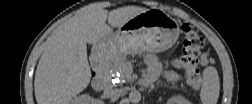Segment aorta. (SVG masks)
I'll use <instances>...</instances> for the list:
<instances>
[{"label": "aorta", "instance_id": "1", "mask_svg": "<svg viewBox=\"0 0 252 104\" xmlns=\"http://www.w3.org/2000/svg\"><path fill=\"white\" fill-rule=\"evenodd\" d=\"M141 100V93L137 90H133L129 93V101L133 104L139 103Z\"/></svg>", "mask_w": 252, "mask_h": 104}]
</instances>
